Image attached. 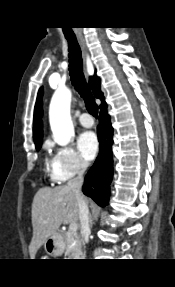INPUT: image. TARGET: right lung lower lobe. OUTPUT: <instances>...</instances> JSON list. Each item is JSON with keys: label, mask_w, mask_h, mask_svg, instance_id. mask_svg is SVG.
I'll return each instance as SVG.
<instances>
[{"label": "right lung lower lobe", "mask_w": 175, "mask_h": 287, "mask_svg": "<svg viewBox=\"0 0 175 287\" xmlns=\"http://www.w3.org/2000/svg\"><path fill=\"white\" fill-rule=\"evenodd\" d=\"M100 126L98 127V140L100 142L99 155L85 176L83 193L91 197L99 206L108 205L110 183L113 177V156L111 147L113 144V128L110 116L107 113V105L100 108Z\"/></svg>", "instance_id": "obj_1"}]
</instances>
